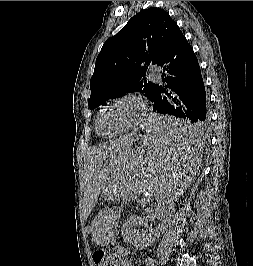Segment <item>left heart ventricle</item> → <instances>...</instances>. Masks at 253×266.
I'll list each match as a JSON object with an SVG mask.
<instances>
[{
    "mask_svg": "<svg viewBox=\"0 0 253 266\" xmlns=\"http://www.w3.org/2000/svg\"><path fill=\"white\" fill-rule=\"evenodd\" d=\"M137 106L130 101H122L110 106L100 116L98 129L103 135H112L123 129L133 119Z\"/></svg>",
    "mask_w": 253,
    "mask_h": 266,
    "instance_id": "obj_1",
    "label": "left heart ventricle"
}]
</instances>
